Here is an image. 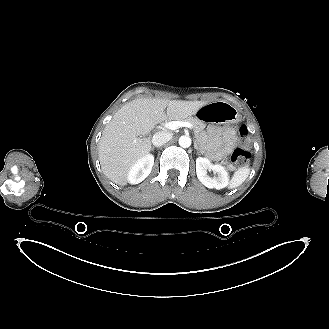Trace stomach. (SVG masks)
Here are the masks:
<instances>
[{
    "mask_svg": "<svg viewBox=\"0 0 329 329\" xmlns=\"http://www.w3.org/2000/svg\"><path fill=\"white\" fill-rule=\"evenodd\" d=\"M196 119L203 123L226 122L235 124L239 121L236 109L224 101H215L201 107L195 114Z\"/></svg>",
    "mask_w": 329,
    "mask_h": 329,
    "instance_id": "0dacf381",
    "label": "stomach"
}]
</instances>
